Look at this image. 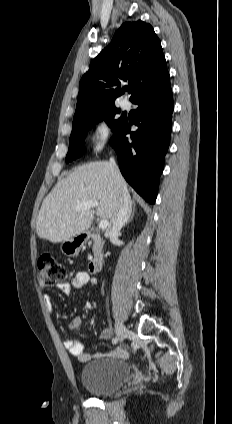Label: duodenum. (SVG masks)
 I'll return each mask as SVG.
<instances>
[{"mask_svg":"<svg viewBox=\"0 0 232 424\" xmlns=\"http://www.w3.org/2000/svg\"><path fill=\"white\" fill-rule=\"evenodd\" d=\"M92 236L93 234L89 232L83 235L85 240H89ZM103 260H104V251L99 245H97L95 248V251L93 252V256L89 262L88 268L90 273L92 274L98 273L102 268Z\"/></svg>","mask_w":232,"mask_h":424,"instance_id":"duodenum-1","label":"duodenum"}]
</instances>
